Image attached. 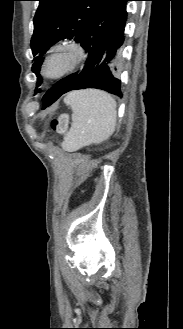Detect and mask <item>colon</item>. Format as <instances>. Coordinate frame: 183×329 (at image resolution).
<instances>
[{
	"instance_id": "5ec220e1",
	"label": "colon",
	"mask_w": 183,
	"mask_h": 329,
	"mask_svg": "<svg viewBox=\"0 0 183 329\" xmlns=\"http://www.w3.org/2000/svg\"><path fill=\"white\" fill-rule=\"evenodd\" d=\"M68 123L69 115L67 113H62L52 120L51 127L55 133L63 134L67 130Z\"/></svg>"
}]
</instances>
